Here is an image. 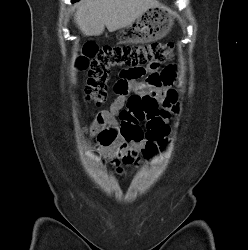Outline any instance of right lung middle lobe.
<instances>
[{"instance_id": "dd1d6c3e", "label": "right lung middle lobe", "mask_w": 248, "mask_h": 250, "mask_svg": "<svg viewBox=\"0 0 248 250\" xmlns=\"http://www.w3.org/2000/svg\"><path fill=\"white\" fill-rule=\"evenodd\" d=\"M76 1H78V0H73V2H76Z\"/></svg>"}]
</instances>
